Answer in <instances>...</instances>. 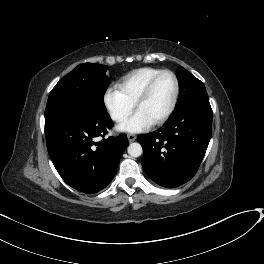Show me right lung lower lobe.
Masks as SVG:
<instances>
[{
    "instance_id": "1",
    "label": "right lung lower lobe",
    "mask_w": 264,
    "mask_h": 264,
    "mask_svg": "<svg viewBox=\"0 0 264 264\" xmlns=\"http://www.w3.org/2000/svg\"><path fill=\"white\" fill-rule=\"evenodd\" d=\"M112 126L107 112L84 111L45 119L49 156L69 186L91 194L111 182L129 144L124 133L97 141Z\"/></svg>"
}]
</instances>
